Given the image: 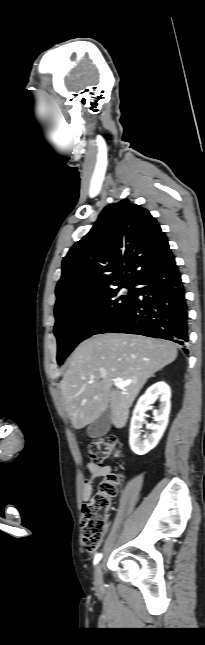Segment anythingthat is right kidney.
Listing matches in <instances>:
<instances>
[{
    "mask_svg": "<svg viewBox=\"0 0 205 645\" xmlns=\"http://www.w3.org/2000/svg\"><path fill=\"white\" fill-rule=\"evenodd\" d=\"M160 397L159 409L153 411L155 423L151 425V433L145 434L141 439V428L145 422L144 412L150 404ZM171 390L165 382H157L150 386L138 400L133 411L130 423L129 444L131 450L137 455H144L156 447L167 425L170 413Z\"/></svg>",
    "mask_w": 205,
    "mask_h": 645,
    "instance_id": "1",
    "label": "right kidney"
}]
</instances>
